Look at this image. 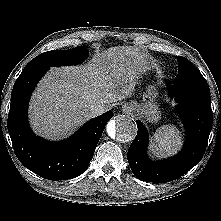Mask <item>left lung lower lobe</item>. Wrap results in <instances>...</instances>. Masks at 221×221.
Wrapping results in <instances>:
<instances>
[{"label":"left lung lower lobe","instance_id":"obj_1","mask_svg":"<svg viewBox=\"0 0 221 221\" xmlns=\"http://www.w3.org/2000/svg\"><path fill=\"white\" fill-rule=\"evenodd\" d=\"M166 84L170 96L175 97L178 103L176 110L186 128V141L184 148L174 157L151 161L146 153L148 134L138 120L137 135L129 147L127 158L132 172L142 181L169 182L187 173L202 159L212 128L211 97L206 80L173 85L166 80Z\"/></svg>","mask_w":221,"mask_h":221}]
</instances>
